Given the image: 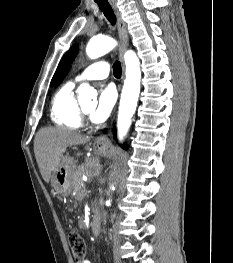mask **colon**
<instances>
[{
	"label": "colon",
	"instance_id": "1",
	"mask_svg": "<svg viewBox=\"0 0 233 263\" xmlns=\"http://www.w3.org/2000/svg\"><path fill=\"white\" fill-rule=\"evenodd\" d=\"M68 241L75 261L81 263L86 255V244L84 238L77 232H70L68 234Z\"/></svg>",
	"mask_w": 233,
	"mask_h": 263
}]
</instances>
